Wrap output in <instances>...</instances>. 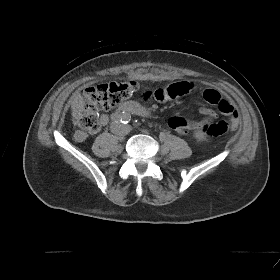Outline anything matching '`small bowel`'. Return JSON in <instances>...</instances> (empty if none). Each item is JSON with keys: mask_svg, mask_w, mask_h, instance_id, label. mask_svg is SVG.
<instances>
[{"mask_svg": "<svg viewBox=\"0 0 280 280\" xmlns=\"http://www.w3.org/2000/svg\"><path fill=\"white\" fill-rule=\"evenodd\" d=\"M193 90V84L187 81L174 82L166 87L156 89L154 91H147L144 93L145 100H155L158 102H166L179 98L190 93ZM203 98L206 102L216 105L219 111L230 117L233 128L238 126L239 116L235 107L228 100L221 97L219 92L214 89H207L203 92ZM200 113L205 117L202 121L187 120L185 118L174 116L169 120V126L178 133L185 134L190 131L199 130L204 127L209 120L216 118L214 110L208 107H202ZM108 122L106 114L101 115L100 124L105 125ZM88 134L82 130H78L75 138L78 141H83Z\"/></svg>", "mask_w": 280, "mask_h": 280, "instance_id": "obj_1", "label": "small bowel"}]
</instances>
